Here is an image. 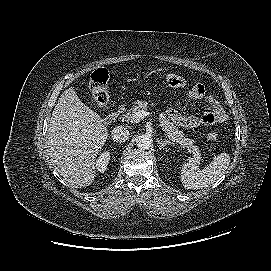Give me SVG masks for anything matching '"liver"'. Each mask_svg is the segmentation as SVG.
<instances>
[{
  "label": "liver",
  "instance_id": "6515ba94",
  "mask_svg": "<svg viewBox=\"0 0 271 271\" xmlns=\"http://www.w3.org/2000/svg\"><path fill=\"white\" fill-rule=\"evenodd\" d=\"M107 137L100 115L81 102L73 87L66 89L52 112L47 145L52 165L69 185L93 182L95 160Z\"/></svg>",
  "mask_w": 271,
  "mask_h": 271
}]
</instances>
